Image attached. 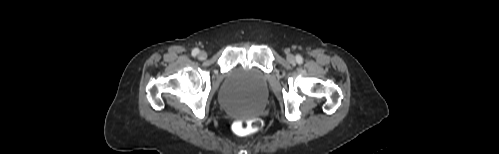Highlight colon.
<instances>
[{
  "mask_svg": "<svg viewBox=\"0 0 499 154\" xmlns=\"http://www.w3.org/2000/svg\"><path fill=\"white\" fill-rule=\"evenodd\" d=\"M262 122L259 119L250 121L240 120L234 124V131L239 134H249L260 130Z\"/></svg>",
  "mask_w": 499,
  "mask_h": 154,
  "instance_id": "5ec220e1",
  "label": "colon"
}]
</instances>
